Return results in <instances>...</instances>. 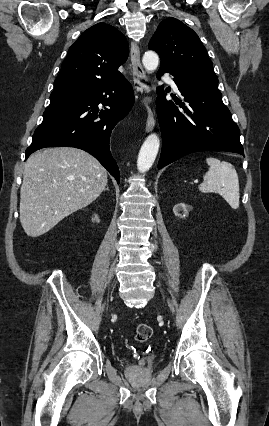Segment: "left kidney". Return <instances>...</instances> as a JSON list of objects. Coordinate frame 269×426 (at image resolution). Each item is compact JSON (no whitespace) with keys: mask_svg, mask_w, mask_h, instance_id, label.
<instances>
[{"mask_svg":"<svg viewBox=\"0 0 269 426\" xmlns=\"http://www.w3.org/2000/svg\"><path fill=\"white\" fill-rule=\"evenodd\" d=\"M190 210L191 206L185 203H178L173 207V213L175 216H180L181 219H184Z\"/></svg>","mask_w":269,"mask_h":426,"instance_id":"5707ae66","label":"left kidney"}]
</instances>
